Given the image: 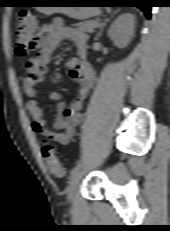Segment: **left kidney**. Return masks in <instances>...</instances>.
<instances>
[{"label": "left kidney", "mask_w": 170, "mask_h": 231, "mask_svg": "<svg viewBox=\"0 0 170 231\" xmlns=\"http://www.w3.org/2000/svg\"><path fill=\"white\" fill-rule=\"evenodd\" d=\"M134 27V16L129 13L122 14L112 23L108 35L117 47L124 48L133 37Z\"/></svg>", "instance_id": "5707ae66"}]
</instances>
